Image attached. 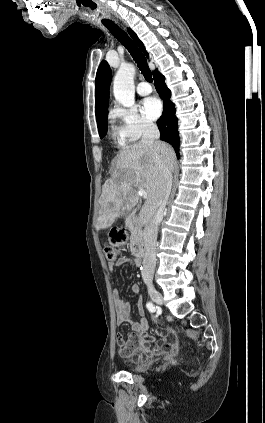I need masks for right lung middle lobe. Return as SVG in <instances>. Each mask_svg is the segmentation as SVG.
Here are the masks:
<instances>
[{"mask_svg": "<svg viewBox=\"0 0 265 423\" xmlns=\"http://www.w3.org/2000/svg\"><path fill=\"white\" fill-rule=\"evenodd\" d=\"M107 116L108 115L104 116L102 118V120L100 121V123H97L100 138H103L107 134V129H108V126H107Z\"/></svg>", "mask_w": 265, "mask_h": 423, "instance_id": "dd1d6c3e", "label": "right lung middle lobe"}]
</instances>
